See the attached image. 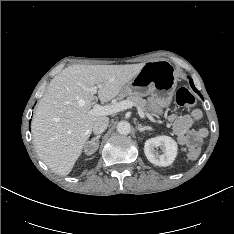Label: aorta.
Returning <instances> with one entry per match:
<instances>
[{"label":"aorta","mask_w":234,"mask_h":234,"mask_svg":"<svg viewBox=\"0 0 234 234\" xmlns=\"http://www.w3.org/2000/svg\"><path fill=\"white\" fill-rule=\"evenodd\" d=\"M131 131V125L128 121H120L117 125V132L122 135H127Z\"/></svg>","instance_id":"762f6f07"}]
</instances>
